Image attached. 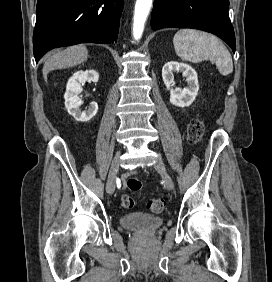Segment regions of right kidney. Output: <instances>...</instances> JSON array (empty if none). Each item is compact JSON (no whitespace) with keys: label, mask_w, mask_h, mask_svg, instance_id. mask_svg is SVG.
Wrapping results in <instances>:
<instances>
[{"label":"right kidney","mask_w":272,"mask_h":282,"mask_svg":"<svg viewBox=\"0 0 272 282\" xmlns=\"http://www.w3.org/2000/svg\"><path fill=\"white\" fill-rule=\"evenodd\" d=\"M99 74L95 70L76 71L68 80L66 92L64 94L65 107L68 113L74 117L76 121L87 122L92 119L98 111L96 102L90 103L87 111H81V100L78 95L82 91L81 85L86 81L98 82Z\"/></svg>","instance_id":"obj_1"}]
</instances>
